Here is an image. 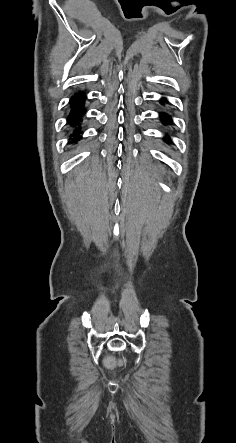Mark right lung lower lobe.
<instances>
[{
	"label": "right lung lower lobe",
	"mask_w": 236,
	"mask_h": 443,
	"mask_svg": "<svg viewBox=\"0 0 236 443\" xmlns=\"http://www.w3.org/2000/svg\"><path fill=\"white\" fill-rule=\"evenodd\" d=\"M86 99V96L83 92L76 93L70 100L71 111L68 117V122L71 126H78L81 120V116L85 113L83 108V103ZM80 131L79 128L74 132V140L78 139Z\"/></svg>",
	"instance_id": "1"
}]
</instances>
